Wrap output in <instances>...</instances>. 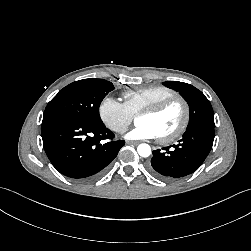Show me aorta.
Segmentation results:
<instances>
[{
	"label": "aorta",
	"mask_w": 251,
	"mask_h": 251,
	"mask_svg": "<svg viewBox=\"0 0 251 251\" xmlns=\"http://www.w3.org/2000/svg\"><path fill=\"white\" fill-rule=\"evenodd\" d=\"M137 152L141 157H148L151 154V147L148 144H140L137 147Z\"/></svg>",
	"instance_id": "aorta-1"
}]
</instances>
